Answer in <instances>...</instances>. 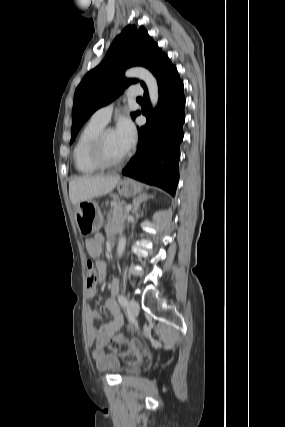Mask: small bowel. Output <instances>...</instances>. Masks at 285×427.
I'll return each instance as SVG.
<instances>
[{
    "label": "small bowel",
    "mask_w": 285,
    "mask_h": 427,
    "mask_svg": "<svg viewBox=\"0 0 285 427\" xmlns=\"http://www.w3.org/2000/svg\"><path fill=\"white\" fill-rule=\"evenodd\" d=\"M104 237L101 234H95L92 238L86 241V249L90 256L98 258L102 252V246ZM97 273L98 280L102 282L105 278L106 270L105 265L101 262H97ZM119 291L118 281L112 282L111 296L106 300L105 307L112 316V320L108 323L100 325L98 328L95 326L97 320L101 318L99 312L88 309L87 317V332L90 340L95 342V348L91 351V357L96 362L98 368L108 369L117 360L104 352L110 339L118 333L124 325L123 314L116 302V295ZM96 287H90L86 291L88 298H94L96 296Z\"/></svg>",
    "instance_id": "small-bowel-1"
}]
</instances>
